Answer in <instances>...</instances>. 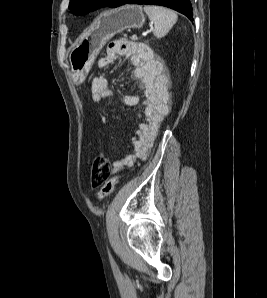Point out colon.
<instances>
[{
    "mask_svg": "<svg viewBox=\"0 0 267 298\" xmlns=\"http://www.w3.org/2000/svg\"><path fill=\"white\" fill-rule=\"evenodd\" d=\"M120 176L110 177V161L105 153L100 152L94 158L91 168V185L99 188L98 199L108 197L119 183Z\"/></svg>",
    "mask_w": 267,
    "mask_h": 298,
    "instance_id": "obj_1",
    "label": "colon"
}]
</instances>
